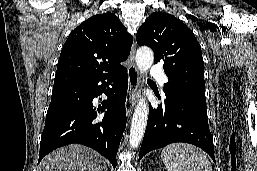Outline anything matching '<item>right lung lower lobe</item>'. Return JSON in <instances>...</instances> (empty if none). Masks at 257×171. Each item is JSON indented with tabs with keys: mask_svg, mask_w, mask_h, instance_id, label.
Listing matches in <instances>:
<instances>
[{
	"mask_svg": "<svg viewBox=\"0 0 257 171\" xmlns=\"http://www.w3.org/2000/svg\"><path fill=\"white\" fill-rule=\"evenodd\" d=\"M127 69L90 80L53 87L38 163L56 148L72 143L91 147L116 167V154L126 126ZM105 93L98 108L92 101Z\"/></svg>",
	"mask_w": 257,
	"mask_h": 171,
	"instance_id": "right-lung-lower-lobe-1",
	"label": "right lung lower lobe"
}]
</instances>
